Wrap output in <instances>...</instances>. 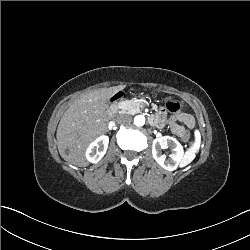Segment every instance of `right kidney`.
Returning <instances> with one entry per match:
<instances>
[{
  "label": "right kidney",
  "mask_w": 250,
  "mask_h": 250,
  "mask_svg": "<svg viewBox=\"0 0 250 250\" xmlns=\"http://www.w3.org/2000/svg\"><path fill=\"white\" fill-rule=\"evenodd\" d=\"M109 144V137L106 135L99 136L91 142L86 150V159L90 163L99 162L105 155Z\"/></svg>",
  "instance_id": "ca27d5eb"
}]
</instances>
